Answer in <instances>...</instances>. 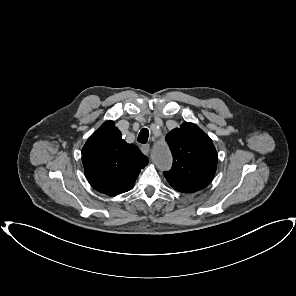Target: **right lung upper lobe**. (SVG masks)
I'll list each match as a JSON object with an SVG mask.
<instances>
[{
	"instance_id": "cb5924a9",
	"label": "right lung upper lobe",
	"mask_w": 296,
	"mask_h": 296,
	"mask_svg": "<svg viewBox=\"0 0 296 296\" xmlns=\"http://www.w3.org/2000/svg\"><path fill=\"white\" fill-rule=\"evenodd\" d=\"M85 176L97 191L116 196L129 191L148 158L122 139L113 121H106L82 149Z\"/></svg>"
}]
</instances>
